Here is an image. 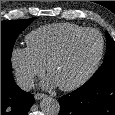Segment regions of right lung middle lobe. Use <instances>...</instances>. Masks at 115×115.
Returning a JSON list of instances; mask_svg holds the SVG:
<instances>
[{"label": "right lung middle lobe", "instance_id": "1", "mask_svg": "<svg viewBox=\"0 0 115 115\" xmlns=\"http://www.w3.org/2000/svg\"><path fill=\"white\" fill-rule=\"evenodd\" d=\"M34 18L26 20L1 21V74H12L11 54L17 36Z\"/></svg>", "mask_w": 115, "mask_h": 115}]
</instances>
